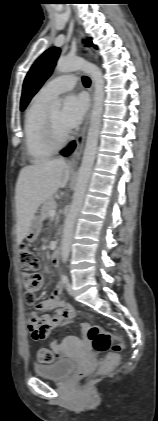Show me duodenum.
<instances>
[{
	"label": "duodenum",
	"instance_id": "obj_1",
	"mask_svg": "<svg viewBox=\"0 0 158 421\" xmlns=\"http://www.w3.org/2000/svg\"><path fill=\"white\" fill-rule=\"evenodd\" d=\"M61 260V251L60 249H55L52 253L51 261L54 266H58Z\"/></svg>",
	"mask_w": 158,
	"mask_h": 421
}]
</instances>
